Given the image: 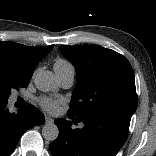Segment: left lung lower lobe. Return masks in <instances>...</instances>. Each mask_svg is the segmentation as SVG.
<instances>
[{
	"mask_svg": "<svg viewBox=\"0 0 156 156\" xmlns=\"http://www.w3.org/2000/svg\"><path fill=\"white\" fill-rule=\"evenodd\" d=\"M68 117L84 127L73 130L70 121L55 120L59 135L49 146L52 156H116L127 139L130 121L120 116Z\"/></svg>",
	"mask_w": 156,
	"mask_h": 156,
	"instance_id": "1",
	"label": "left lung lower lobe"
}]
</instances>
